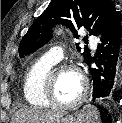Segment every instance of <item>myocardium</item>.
Segmentation results:
<instances>
[{
    "label": "myocardium",
    "mask_w": 122,
    "mask_h": 123,
    "mask_svg": "<svg viewBox=\"0 0 122 123\" xmlns=\"http://www.w3.org/2000/svg\"><path fill=\"white\" fill-rule=\"evenodd\" d=\"M66 69L75 70L80 74L82 78V88L76 98L68 102H63L58 100L55 96V82L58 73ZM88 86L89 83L87 77L76 65L67 64V63L56 64L49 70L46 76L45 85H44V94L46 99L49 101L51 105L63 107V108H69L78 105L85 98L88 91Z\"/></svg>",
    "instance_id": "f54148a6"
}]
</instances>
